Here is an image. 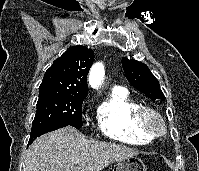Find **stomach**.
I'll return each instance as SVG.
<instances>
[{
    "mask_svg": "<svg viewBox=\"0 0 199 171\" xmlns=\"http://www.w3.org/2000/svg\"><path fill=\"white\" fill-rule=\"evenodd\" d=\"M113 171H147V169L141 159L133 156L117 161Z\"/></svg>",
    "mask_w": 199,
    "mask_h": 171,
    "instance_id": "1",
    "label": "stomach"
}]
</instances>
